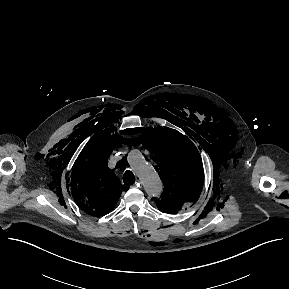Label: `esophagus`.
<instances>
[{
    "instance_id": "1",
    "label": "esophagus",
    "mask_w": 289,
    "mask_h": 289,
    "mask_svg": "<svg viewBox=\"0 0 289 289\" xmlns=\"http://www.w3.org/2000/svg\"><path fill=\"white\" fill-rule=\"evenodd\" d=\"M140 186V181L138 180L134 185H132V187H139Z\"/></svg>"
}]
</instances>
